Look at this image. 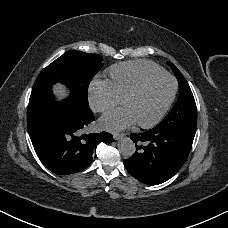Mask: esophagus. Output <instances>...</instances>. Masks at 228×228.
Returning a JSON list of instances; mask_svg holds the SVG:
<instances>
[{
    "label": "esophagus",
    "instance_id": "1",
    "mask_svg": "<svg viewBox=\"0 0 228 228\" xmlns=\"http://www.w3.org/2000/svg\"><path fill=\"white\" fill-rule=\"evenodd\" d=\"M124 135H125L124 133H115V134H113V138H114V140H118L121 137H123Z\"/></svg>",
    "mask_w": 228,
    "mask_h": 228
}]
</instances>
